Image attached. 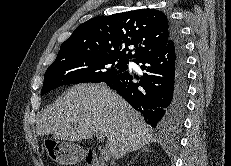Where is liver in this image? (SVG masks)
<instances>
[{
    "mask_svg": "<svg viewBox=\"0 0 231 166\" xmlns=\"http://www.w3.org/2000/svg\"><path fill=\"white\" fill-rule=\"evenodd\" d=\"M36 133L70 142L101 133L114 159L156 141L140 113L103 84H78L68 89L42 111Z\"/></svg>",
    "mask_w": 231,
    "mask_h": 166,
    "instance_id": "obj_1",
    "label": "liver"
}]
</instances>
